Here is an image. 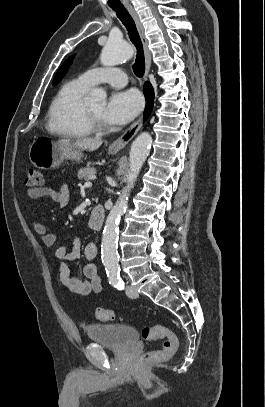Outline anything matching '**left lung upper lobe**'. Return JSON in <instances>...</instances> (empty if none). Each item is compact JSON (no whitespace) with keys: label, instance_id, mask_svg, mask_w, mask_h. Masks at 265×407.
I'll use <instances>...</instances> for the list:
<instances>
[{"label":"left lung upper lobe","instance_id":"left-lung-upper-lobe-1","mask_svg":"<svg viewBox=\"0 0 265 407\" xmlns=\"http://www.w3.org/2000/svg\"><path fill=\"white\" fill-rule=\"evenodd\" d=\"M74 56H71L70 58H68L63 65L59 68V70L57 71L54 80H53V85H56L60 82V80L62 79V77L66 74L67 69L69 67V65L71 64L72 60H73Z\"/></svg>","mask_w":265,"mask_h":407}]
</instances>
